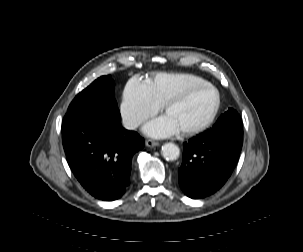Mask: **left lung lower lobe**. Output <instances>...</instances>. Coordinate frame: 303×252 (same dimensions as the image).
<instances>
[{
  "instance_id": "1",
  "label": "left lung lower lobe",
  "mask_w": 303,
  "mask_h": 252,
  "mask_svg": "<svg viewBox=\"0 0 303 252\" xmlns=\"http://www.w3.org/2000/svg\"><path fill=\"white\" fill-rule=\"evenodd\" d=\"M243 144L240 135L209 136L202 133L183 144L178 181L190 198L209 196L220 189L233 172Z\"/></svg>"
}]
</instances>
